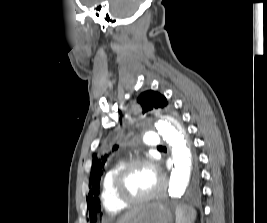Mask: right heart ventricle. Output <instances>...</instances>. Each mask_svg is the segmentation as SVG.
<instances>
[{
  "mask_svg": "<svg viewBox=\"0 0 267 223\" xmlns=\"http://www.w3.org/2000/svg\"><path fill=\"white\" fill-rule=\"evenodd\" d=\"M123 164V161L116 162L107 170L102 180L101 201L104 209L110 213H117L125 208V204L120 202L113 192V180Z\"/></svg>",
  "mask_w": 267,
  "mask_h": 223,
  "instance_id": "e07e8e85",
  "label": "right heart ventricle"
}]
</instances>
